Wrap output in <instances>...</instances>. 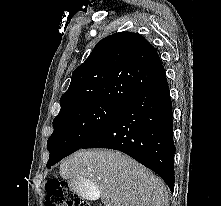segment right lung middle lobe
<instances>
[{
    "label": "right lung middle lobe",
    "instance_id": "right-lung-middle-lobe-1",
    "mask_svg": "<svg viewBox=\"0 0 221 206\" xmlns=\"http://www.w3.org/2000/svg\"><path fill=\"white\" fill-rule=\"evenodd\" d=\"M124 106L94 103L60 112L53 120L54 131L47 148V168L82 148L115 119Z\"/></svg>",
    "mask_w": 221,
    "mask_h": 206
}]
</instances>
